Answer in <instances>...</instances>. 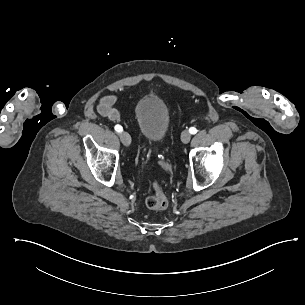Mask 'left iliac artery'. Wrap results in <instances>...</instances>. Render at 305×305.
Listing matches in <instances>:
<instances>
[{"mask_svg":"<svg viewBox=\"0 0 305 305\" xmlns=\"http://www.w3.org/2000/svg\"><path fill=\"white\" fill-rule=\"evenodd\" d=\"M189 132H190L191 134H196V133H197V129H196L195 127H191V128L189 129Z\"/></svg>","mask_w":305,"mask_h":305,"instance_id":"44dca946","label":"left iliac artery"}]
</instances>
